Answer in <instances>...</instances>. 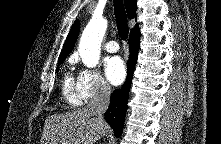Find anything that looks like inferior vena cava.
Masks as SVG:
<instances>
[{"label":"inferior vena cava","mask_w":221,"mask_h":144,"mask_svg":"<svg viewBox=\"0 0 221 144\" xmlns=\"http://www.w3.org/2000/svg\"><path fill=\"white\" fill-rule=\"evenodd\" d=\"M111 88L108 84L102 83L98 86L95 95L87 105L88 111L102 123L104 122V113L110 103Z\"/></svg>","instance_id":"obj_1"}]
</instances>
